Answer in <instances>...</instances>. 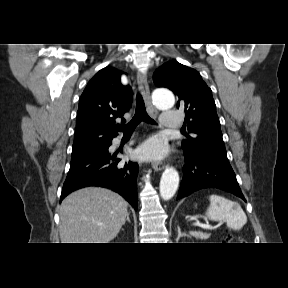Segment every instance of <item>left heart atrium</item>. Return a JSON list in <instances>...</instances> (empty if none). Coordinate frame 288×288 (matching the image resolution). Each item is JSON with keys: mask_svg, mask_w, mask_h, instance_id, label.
I'll use <instances>...</instances> for the list:
<instances>
[{"mask_svg": "<svg viewBox=\"0 0 288 288\" xmlns=\"http://www.w3.org/2000/svg\"><path fill=\"white\" fill-rule=\"evenodd\" d=\"M165 154V144L157 137L150 138L139 149V155L149 159H160L164 157Z\"/></svg>", "mask_w": 288, "mask_h": 288, "instance_id": "left-heart-atrium-1", "label": "left heart atrium"}]
</instances>
